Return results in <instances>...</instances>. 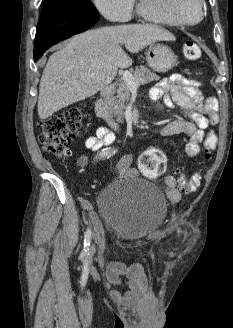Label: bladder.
<instances>
[{"label":"bladder","mask_w":233,"mask_h":328,"mask_svg":"<svg viewBox=\"0 0 233 328\" xmlns=\"http://www.w3.org/2000/svg\"><path fill=\"white\" fill-rule=\"evenodd\" d=\"M97 204L103 224L127 241L142 239L158 229L168 210L163 192L142 179L107 185L98 195Z\"/></svg>","instance_id":"obj_1"}]
</instances>
